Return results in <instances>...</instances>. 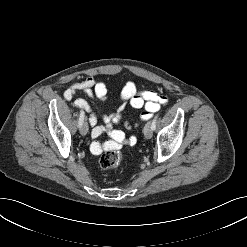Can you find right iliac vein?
I'll use <instances>...</instances> for the list:
<instances>
[{
	"mask_svg": "<svg viewBox=\"0 0 247 247\" xmlns=\"http://www.w3.org/2000/svg\"><path fill=\"white\" fill-rule=\"evenodd\" d=\"M81 135L85 136L88 133V124L84 122L80 128Z\"/></svg>",
	"mask_w": 247,
	"mask_h": 247,
	"instance_id": "1",
	"label": "right iliac vein"
}]
</instances>
